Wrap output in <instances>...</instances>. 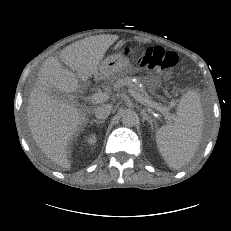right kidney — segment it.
<instances>
[{
	"label": "right kidney",
	"instance_id": "1",
	"mask_svg": "<svg viewBox=\"0 0 231 231\" xmlns=\"http://www.w3.org/2000/svg\"><path fill=\"white\" fill-rule=\"evenodd\" d=\"M96 141H97V137L95 134H91L85 139V142H87V144L89 145H94Z\"/></svg>",
	"mask_w": 231,
	"mask_h": 231
}]
</instances>
